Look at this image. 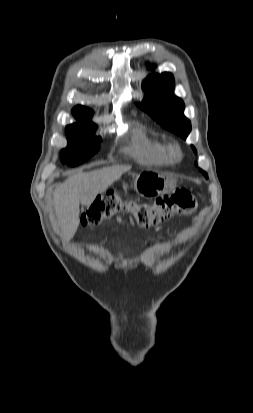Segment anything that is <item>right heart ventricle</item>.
<instances>
[{"label":"right heart ventricle","mask_w":253,"mask_h":413,"mask_svg":"<svg viewBox=\"0 0 253 413\" xmlns=\"http://www.w3.org/2000/svg\"><path fill=\"white\" fill-rule=\"evenodd\" d=\"M126 152L144 164L166 165L172 162L169 146L159 139L150 137L141 127L133 130L131 143Z\"/></svg>","instance_id":"obj_1"}]
</instances>
